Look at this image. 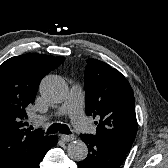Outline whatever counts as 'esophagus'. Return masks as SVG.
<instances>
[{"label": "esophagus", "mask_w": 168, "mask_h": 168, "mask_svg": "<svg viewBox=\"0 0 168 168\" xmlns=\"http://www.w3.org/2000/svg\"><path fill=\"white\" fill-rule=\"evenodd\" d=\"M75 138L74 135H61V140L64 142H70Z\"/></svg>", "instance_id": "34e87169"}]
</instances>
